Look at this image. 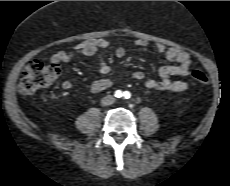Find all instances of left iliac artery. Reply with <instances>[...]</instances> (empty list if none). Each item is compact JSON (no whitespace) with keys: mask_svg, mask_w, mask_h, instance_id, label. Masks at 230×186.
Instances as JSON below:
<instances>
[{"mask_svg":"<svg viewBox=\"0 0 230 186\" xmlns=\"http://www.w3.org/2000/svg\"><path fill=\"white\" fill-rule=\"evenodd\" d=\"M123 96H124L126 99H128V98H130L131 94H130V92L125 91L124 94H123Z\"/></svg>","mask_w":230,"mask_h":186,"instance_id":"44dca946","label":"left iliac artery"}]
</instances>
